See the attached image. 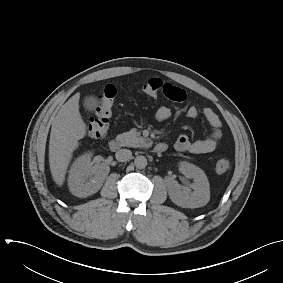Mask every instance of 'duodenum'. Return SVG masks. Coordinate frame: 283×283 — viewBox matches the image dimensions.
<instances>
[{
  "instance_id": "obj_1",
  "label": "duodenum",
  "mask_w": 283,
  "mask_h": 283,
  "mask_svg": "<svg viewBox=\"0 0 283 283\" xmlns=\"http://www.w3.org/2000/svg\"><path fill=\"white\" fill-rule=\"evenodd\" d=\"M109 148L112 151H117L121 148V141L117 138L110 140ZM167 149V145L165 143H157L154 147V150L158 153L164 152Z\"/></svg>"
}]
</instances>
